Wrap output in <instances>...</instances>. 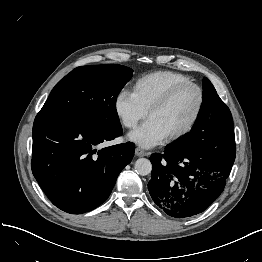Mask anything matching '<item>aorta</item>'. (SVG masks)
Instances as JSON below:
<instances>
[{"label":"aorta","mask_w":262,"mask_h":262,"mask_svg":"<svg viewBox=\"0 0 262 262\" xmlns=\"http://www.w3.org/2000/svg\"><path fill=\"white\" fill-rule=\"evenodd\" d=\"M134 168L137 174L145 176L151 173L152 164L150 160L146 158H139L138 160H136Z\"/></svg>","instance_id":"762f6f07"}]
</instances>
